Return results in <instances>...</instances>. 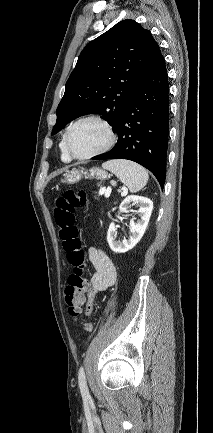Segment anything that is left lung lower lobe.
Masks as SVG:
<instances>
[{
  "mask_svg": "<svg viewBox=\"0 0 213 433\" xmlns=\"http://www.w3.org/2000/svg\"><path fill=\"white\" fill-rule=\"evenodd\" d=\"M112 150L92 159H128L150 170L164 188L169 132V84L159 51L126 104L115 129Z\"/></svg>",
  "mask_w": 213,
  "mask_h": 433,
  "instance_id": "0a47b994",
  "label": "left lung lower lobe"
}]
</instances>
